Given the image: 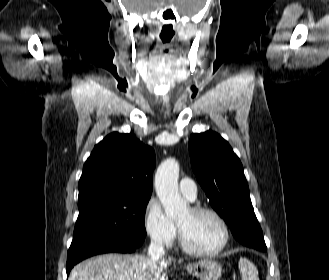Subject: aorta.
<instances>
[{
	"instance_id": "aorta-1",
	"label": "aorta",
	"mask_w": 329,
	"mask_h": 280,
	"mask_svg": "<svg viewBox=\"0 0 329 280\" xmlns=\"http://www.w3.org/2000/svg\"><path fill=\"white\" fill-rule=\"evenodd\" d=\"M179 164L169 158L163 161L155 174V189L168 218H178L187 213V202L178 190Z\"/></svg>"
}]
</instances>
